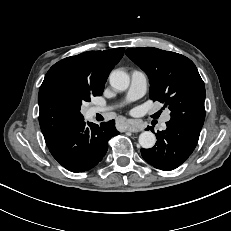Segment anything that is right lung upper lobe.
Wrapping results in <instances>:
<instances>
[{"label": "right lung upper lobe", "instance_id": "right-lung-upper-lobe-1", "mask_svg": "<svg viewBox=\"0 0 231 231\" xmlns=\"http://www.w3.org/2000/svg\"><path fill=\"white\" fill-rule=\"evenodd\" d=\"M124 48L88 51L67 57L47 72L38 95L39 123L46 143L62 131L84 121L75 99L82 91L102 93Z\"/></svg>", "mask_w": 231, "mask_h": 231}]
</instances>
